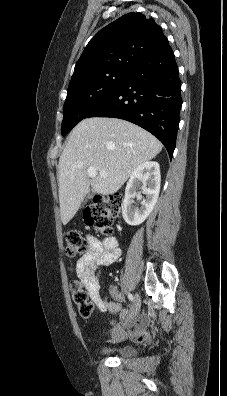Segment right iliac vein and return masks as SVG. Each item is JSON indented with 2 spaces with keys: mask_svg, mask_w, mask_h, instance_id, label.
<instances>
[{
  "mask_svg": "<svg viewBox=\"0 0 227 396\" xmlns=\"http://www.w3.org/2000/svg\"><path fill=\"white\" fill-rule=\"evenodd\" d=\"M141 308V299L138 294L135 295L133 305L130 310V314L128 316V320H132L139 313Z\"/></svg>",
  "mask_w": 227,
  "mask_h": 396,
  "instance_id": "right-iliac-vein-1",
  "label": "right iliac vein"
}]
</instances>
